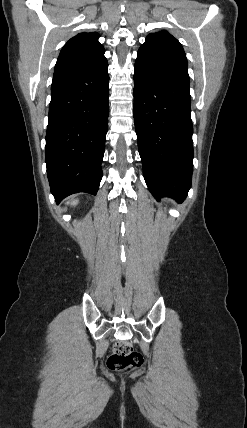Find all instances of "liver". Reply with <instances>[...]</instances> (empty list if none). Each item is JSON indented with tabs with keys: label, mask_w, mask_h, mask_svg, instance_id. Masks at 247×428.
Here are the masks:
<instances>
[{
	"label": "liver",
	"mask_w": 247,
	"mask_h": 428,
	"mask_svg": "<svg viewBox=\"0 0 247 428\" xmlns=\"http://www.w3.org/2000/svg\"><path fill=\"white\" fill-rule=\"evenodd\" d=\"M78 203V200H74L71 202V205H76Z\"/></svg>",
	"instance_id": "obj_1"
}]
</instances>
